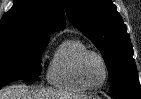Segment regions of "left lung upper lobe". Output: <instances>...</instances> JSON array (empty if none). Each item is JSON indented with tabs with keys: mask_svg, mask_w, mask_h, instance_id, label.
Segmentation results:
<instances>
[{
	"mask_svg": "<svg viewBox=\"0 0 141 99\" xmlns=\"http://www.w3.org/2000/svg\"><path fill=\"white\" fill-rule=\"evenodd\" d=\"M69 20L100 50L119 97L141 98L133 49L126 25L111 0H64Z\"/></svg>",
	"mask_w": 141,
	"mask_h": 99,
	"instance_id": "1",
	"label": "left lung upper lobe"
}]
</instances>
